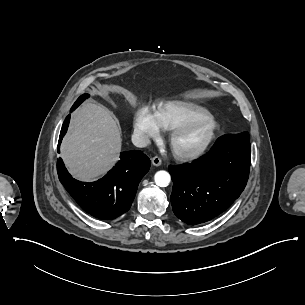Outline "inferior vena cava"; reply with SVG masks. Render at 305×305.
Wrapping results in <instances>:
<instances>
[{"label": "inferior vena cava", "instance_id": "1", "mask_svg": "<svg viewBox=\"0 0 305 305\" xmlns=\"http://www.w3.org/2000/svg\"><path fill=\"white\" fill-rule=\"evenodd\" d=\"M132 143L139 148L146 147L150 143L149 137L141 132L140 130H135L133 135H132Z\"/></svg>", "mask_w": 305, "mask_h": 305}]
</instances>
